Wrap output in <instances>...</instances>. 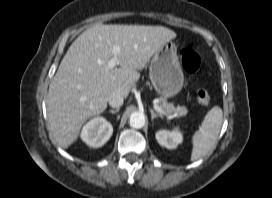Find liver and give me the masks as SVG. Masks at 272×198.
<instances>
[{
    "instance_id": "liver-1",
    "label": "liver",
    "mask_w": 272,
    "mask_h": 198,
    "mask_svg": "<svg viewBox=\"0 0 272 198\" xmlns=\"http://www.w3.org/2000/svg\"><path fill=\"white\" fill-rule=\"evenodd\" d=\"M176 33L163 26L96 24L70 45L49 85L47 115L62 148L74 143L83 124L107 108L108 98H127L150 58ZM118 46L120 67L108 68Z\"/></svg>"
}]
</instances>
